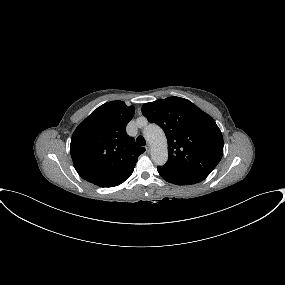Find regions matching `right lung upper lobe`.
<instances>
[{
    "mask_svg": "<svg viewBox=\"0 0 285 285\" xmlns=\"http://www.w3.org/2000/svg\"><path fill=\"white\" fill-rule=\"evenodd\" d=\"M134 107L122 101L107 102L95 109L74 131L70 153L78 174L100 187H114L133 173L138 147L126 134Z\"/></svg>",
    "mask_w": 285,
    "mask_h": 285,
    "instance_id": "cb5924a9",
    "label": "right lung upper lobe"
}]
</instances>
